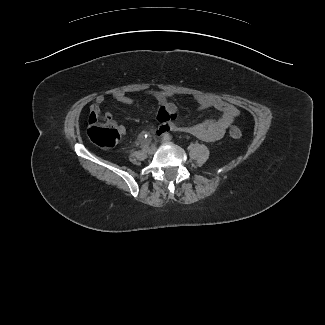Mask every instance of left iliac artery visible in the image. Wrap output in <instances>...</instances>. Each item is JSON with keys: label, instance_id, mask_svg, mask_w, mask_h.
<instances>
[{"label": "left iliac artery", "instance_id": "1", "mask_svg": "<svg viewBox=\"0 0 325 325\" xmlns=\"http://www.w3.org/2000/svg\"><path fill=\"white\" fill-rule=\"evenodd\" d=\"M164 138H165V139H168V140H171V139H172V135H170L169 133H166V134L164 135Z\"/></svg>", "mask_w": 325, "mask_h": 325}]
</instances>
